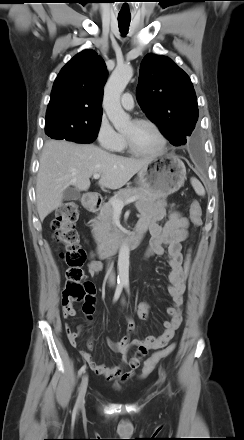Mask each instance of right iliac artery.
Masks as SVG:
<instances>
[{"mask_svg": "<svg viewBox=\"0 0 244 440\" xmlns=\"http://www.w3.org/2000/svg\"><path fill=\"white\" fill-rule=\"evenodd\" d=\"M123 286H124V283H123V282H118V283H117V287H116L115 294H114V297H113V302H116V301L119 299L120 294H121V292H122V290H123ZM85 370H86V365H83V366L80 368V370H79V372H78V375L81 376L82 373L85 372ZM76 411H77V404L75 405V407H74V409H73V413L75 414Z\"/></svg>", "mask_w": 244, "mask_h": 440, "instance_id": "right-iliac-artery-1", "label": "right iliac artery"}]
</instances>
